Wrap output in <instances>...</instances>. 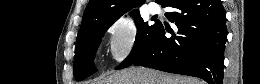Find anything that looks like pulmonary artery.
I'll list each match as a JSON object with an SVG mask.
<instances>
[{
	"instance_id": "1",
	"label": "pulmonary artery",
	"mask_w": 260,
	"mask_h": 84,
	"mask_svg": "<svg viewBox=\"0 0 260 84\" xmlns=\"http://www.w3.org/2000/svg\"><path fill=\"white\" fill-rule=\"evenodd\" d=\"M148 10L151 14H155L159 11V6L154 2H150L148 4Z\"/></svg>"
}]
</instances>
